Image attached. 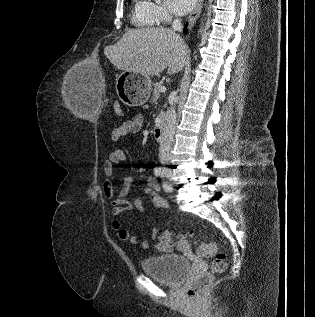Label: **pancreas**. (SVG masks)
Segmentation results:
<instances>
[{
	"instance_id": "obj_1",
	"label": "pancreas",
	"mask_w": 315,
	"mask_h": 317,
	"mask_svg": "<svg viewBox=\"0 0 315 317\" xmlns=\"http://www.w3.org/2000/svg\"><path fill=\"white\" fill-rule=\"evenodd\" d=\"M162 86L160 84H154L153 85V90H152V98L150 99L151 103H155L158 100V97L160 96V88Z\"/></svg>"
}]
</instances>
